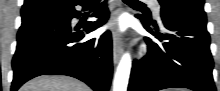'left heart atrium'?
Instances as JSON below:
<instances>
[{
	"instance_id": "left-heart-atrium-1",
	"label": "left heart atrium",
	"mask_w": 220,
	"mask_h": 91,
	"mask_svg": "<svg viewBox=\"0 0 220 91\" xmlns=\"http://www.w3.org/2000/svg\"><path fill=\"white\" fill-rule=\"evenodd\" d=\"M109 27L115 32L124 31L126 23L123 19H118L110 23Z\"/></svg>"
}]
</instances>
